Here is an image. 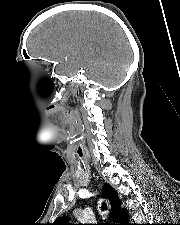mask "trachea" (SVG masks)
<instances>
[{"label": "trachea", "instance_id": "trachea-1", "mask_svg": "<svg viewBox=\"0 0 180 225\" xmlns=\"http://www.w3.org/2000/svg\"><path fill=\"white\" fill-rule=\"evenodd\" d=\"M103 209H105V204L103 205Z\"/></svg>", "mask_w": 180, "mask_h": 225}]
</instances>
